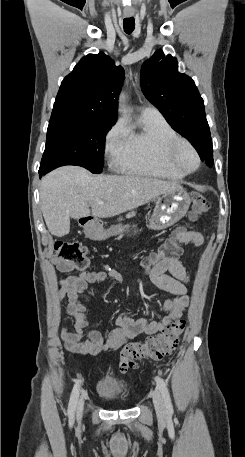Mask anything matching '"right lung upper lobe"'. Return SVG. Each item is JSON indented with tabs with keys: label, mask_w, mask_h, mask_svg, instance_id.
Masks as SVG:
<instances>
[{
	"label": "right lung upper lobe",
	"mask_w": 245,
	"mask_h": 457,
	"mask_svg": "<svg viewBox=\"0 0 245 457\" xmlns=\"http://www.w3.org/2000/svg\"><path fill=\"white\" fill-rule=\"evenodd\" d=\"M124 70L103 52L88 54L61 83L52 114L77 113L117 120Z\"/></svg>",
	"instance_id": "1"
}]
</instances>
